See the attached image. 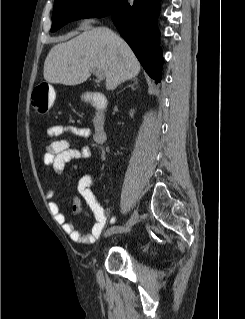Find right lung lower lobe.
Instances as JSON below:
<instances>
[{
  "label": "right lung lower lobe",
  "instance_id": "98d812e1",
  "mask_svg": "<svg viewBox=\"0 0 245 319\" xmlns=\"http://www.w3.org/2000/svg\"><path fill=\"white\" fill-rule=\"evenodd\" d=\"M160 0H120L111 11L112 20L148 75L161 80L162 51L159 48L157 17Z\"/></svg>",
  "mask_w": 245,
  "mask_h": 319
}]
</instances>
